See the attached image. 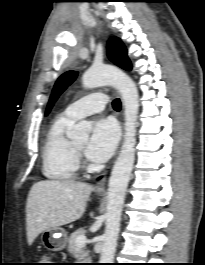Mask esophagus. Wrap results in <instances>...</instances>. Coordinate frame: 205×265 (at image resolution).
Listing matches in <instances>:
<instances>
[{
	"mask_svg": "<svg viewBox=\"0 0 205 265\" xmlns=\"http://www.w3.org/2000/svg\"><path fill=\"white\" fill-rule=\"evenodd\" d=\"M121 126H122V124H121ZM106 175H107V172H105L103 174L101 180L97 182V184L95 186V191H97V192L105 191Z\"/></svg>",
	"mask_w": 205,
	"mask_h": 265,
	"instance_id": "1",
	"label": "esophagus"
}]
</instances>
